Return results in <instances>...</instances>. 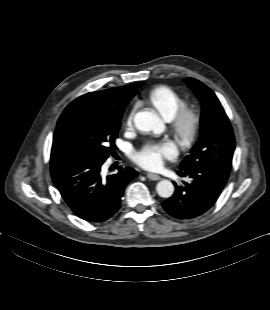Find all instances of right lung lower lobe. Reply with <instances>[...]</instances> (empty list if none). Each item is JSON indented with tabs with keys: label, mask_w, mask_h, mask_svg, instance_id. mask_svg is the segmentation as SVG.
Returning a JSON list of instances; mask_svg holds the SVG:
<instances>
[{
	"label": "right lung lower lobe",
	"mask_w": 270,
	"mask_h": 310,
	"mask_svg": "<svg viewBox=\"0 0 270 310\" xmlns=\"http://www.w3.org/2000/svg\"><path fill=\"white\" fill-rule=\"evenodd\" d=\"M78 157L51 158L52 179L75 215L88 222H104L118 210L126 185L137 172L130 167L101 177V165Z\"/></svg>",
	"instance_id": "obj_1"
}]
</instances>
